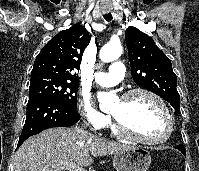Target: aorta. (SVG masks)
Returning <instances> with one entry per match:
<instances>
[{"label": "aorta", "instance_id": "aorta-1", "mask_svg": "<svg viewBox=\"0 0 199 171\" xmlns=\"http://www.w3.org/2000/svg\"><path fill=\"white\" fill-rule=\"evenodd\" d=\"M122 50V46L119 43H108L104 45L100 50L99 57L103 62H111L121 56ZM97 97L101 109L108 108L110 103L114 99V95L106 92H98Z\"/></svg>", "mask_w": 199, "mask_h": 171}]
</instances>
